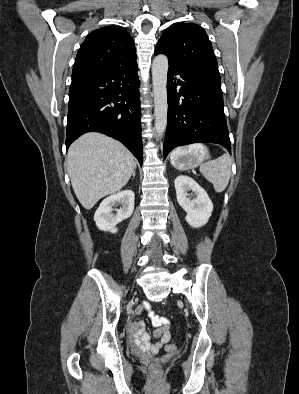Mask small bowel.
I'll return each instance as SVG.
<instances>
[{"label": "small bowel", "instance_id": "obj_1", "mask_svg": "<svg viewBox=\"0 0 299 394\" xmlns=\"http://www.w3.org/2000/svg\"><path fill=\"white\" fill-rule=\"evenodd\" d=\"M144 310L149 311V317L151 318L153 325L156 327L153 335L158 339V341L155 343L150 342V334L146 331L144 321H139L129 325V339L136 350L146 354H156L170 342V322L167 318L159 316L152 311L150 305L146 302L139 306L136 313L140 314Z\"/></svg>", "mask_w": 299, "mask_h": 394}]
</instances>
